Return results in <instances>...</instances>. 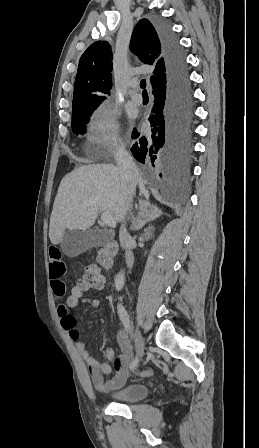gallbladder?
<instances>
[{
    "instance_id": "1",
    "label": "gallbladder",
    "mask_w": 259,
    "mask_h": 448,
    "mask_svg": "<svg viewBox=\"0 0 259 448\" xmlns=\"http://www.w3.org/2000/svg\"><path fill=\"white\" fill-rule=\"evenodd\" d=\"M112 238L113 234L109 230H67L62 238V250L69 258H75L90 248L106 246Z\"/></svg>"
}]
</instances>
